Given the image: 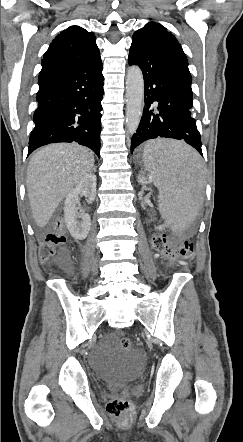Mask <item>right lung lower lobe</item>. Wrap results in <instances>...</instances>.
Returning <instances> with one entry per match:
<instances>
[{
    "mask_svg": "<svg viewBox=\"0 0 243 442\" xmlns=\"http://www.w3.org/2000/svg\"><path fill=\"white\" fill-rule=\"evenodd\" d=\"M101 58L39 75L28 155L40 146L78 142L100 156Z\"/></svg>",
    "mask_w": 243,
    "mask_h": 442,
    "instance_id": "right-lung-lower-lobe-1",
    "label": "right lung lower lobe"
}]
</instances>
